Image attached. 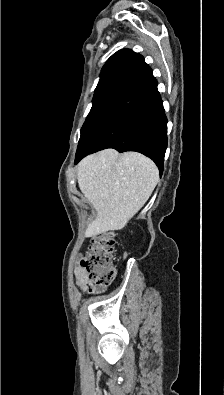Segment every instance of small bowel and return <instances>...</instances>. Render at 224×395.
<instances>
[{
	"label": "small bowel",
	"instance_id": "small-bowel-1",
	"mask_svg": "<svg viewBox=\"0 0 224 395\" xmlns=\"http://www.w3.org/2000/svg\"><path fill=\"white\" fill-rule=\"evenodd\" d=\"M74 277L77 287L82 291L84 294L88 293H98L101 291L106 290L110 284H97L90 280L82 268V266H77L74 269Z\"/></svg>",
	"mask_w": 224,
	"mask_h": 395
}]
</instances>
